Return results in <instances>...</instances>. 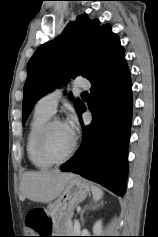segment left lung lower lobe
<instances>
[{"label":"left lung lower lobe","instance_id":"0a47b994","mask_svg":"<svg viewBox=\"0 0 158 237\" xmlns=\"http://www.w3.org/2000/svg\"><path fill=\"white\" fill-rule=\"evenodd\" d=\"M132 83L126 60L92 83L88 103L92 122L74 157L61 171L73 172L122 196L127 180V156L132 120ZM85 110L83 104L79 110ZM81 123H83L81 121Z\"/></svg>","mask_w":158,"mask_h":237}]
</instances>
